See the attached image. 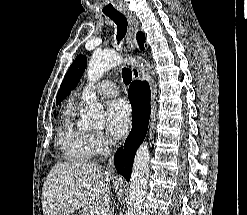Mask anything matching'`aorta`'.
Wrapping results in <instances>:
<instances>
[{"instance_id": "aorta-1", "label": "aorta", "mask_w": 247, "mask_h": 215, "mask_svg": "<svg viewBox=\"0 0 247 215\" xmlns=\"http://www.w3.org/2000/svg\"><path fill=\"white\" fill-rule=\"evenodd\" d=\"M132 62L135 59H131ZM122 57L114 52H94L87 69L89 87L83 92L85 113L82 116L83 125L87 128H101L103 126V106L98 102L91 84L96 83L103 74L112 67L120 64ZM150 152L146 142L138 148L132 168L130 179V202L126 215H140L143 201L147 191V179L149 176Z\"/></svg>"}]
</instances>
